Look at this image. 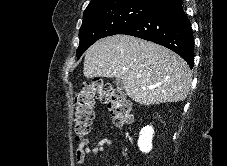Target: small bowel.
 <instances>
[{
	"mask_svg": "<svg viewBox=\"0 0 227 166\" xmlns=\"http://www.w3.org/2000/svg\"><path fill=\"white\" fill-rule=\"evenodd\" d=\"M111 145V140L107 137H101L97 141L82 139L76 152V160L80 166H84L88 155H99L105 147ZM119 166V165H115Z\"/></svg>",
	"mask_w": 227,
	"mask_h": 166,
	"instance_id": "c3829d8e",
	"label": "small bowel"
}]
</instances>
